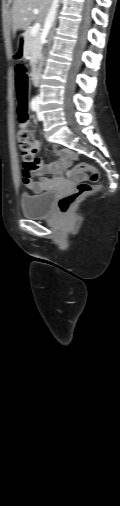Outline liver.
Wrapping results in <instances>:
<instances>
[{
  "instance_id": "obj_1",
  "label": "liver",
  "mask_w": 120,
  "mask_h": 506,
  "mask_svg": "<svg viewBox=\"0 0 120 506\" xmlns=\"http://www.w3.org/2000/svg\"><path fill=\"white\" fill-rule=\"evenodd\" d=\"M52 0H14L12 8V31L26 30L34 20L43 22L51 7ZM39 13L34 14L33 9Z\"/></svg>"
}]
</instances>
